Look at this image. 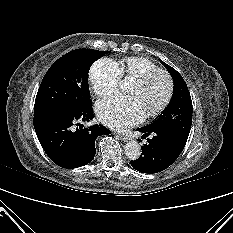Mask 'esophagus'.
Masks as SVG:
<instances>
[{"instance_id": "obj_1", "label": "esophagus", "mask_w": 233, "mask_h": 233, "mask_svg": "<svg viewBox=\"0 0 233 233\" xmlns=\"http://www.w3.org/2000/svg\"><path fill=\"white\" fill-rule=\"evenodd\" d=\"M119 137L122 141H128L129 140V137L127 135H124V134H119Z\"/></svg>"}]
</instances>
